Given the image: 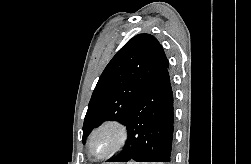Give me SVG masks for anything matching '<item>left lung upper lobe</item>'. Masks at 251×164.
Here are the masks:
<instances>
[{
	"instance_id": "obj_1",
	"label": "left lung upper lobe",
	"mask_w": 251,
	"mask_h": 164,
	"mask_svg": "<svg viewBox=\"0 0 251 164\" xmlns=\"http://www.w3.org/2000/svg\"><path fill=\"white\" fill-rule=\"evenodd\" d=\"M168 59L150 34L130 39L111 59L93 91L83 125V141L105 120L126 123L134 103L162 71Z\"/></svg>"
}]
</instances>
